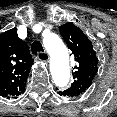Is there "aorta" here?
<instances>
[{
	"mask_svg": "<svg viewBox=\"0 0 117 117\" xmlns=\"http://www.w3.org/2000/svg\"><path fill=\"white\" fill-rule=\"evenodd\" d=\"M43 45L51 57L50 71L54 83L58 87H65L70 79L68 49L55 33L44 35Z\"/></svg>",
	"mask_w": 117,
	"mask_h": 117,
	"instance_id": "1",
	"label": "aorta"
}]
</instances>
